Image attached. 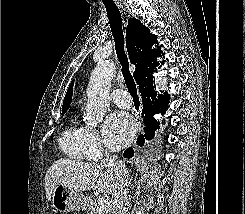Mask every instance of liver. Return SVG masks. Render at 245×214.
I'll return each mask as SVG.
<instances>
[{
	"label": "liver",
	"mask_w": 245,
	"mask_h": 214,
	"mask_svg": "<svg viewBox=\"0 0 245 214\" xmlns=\"http://www.w3.org/2000/svg\"><path fill=\"white\" fill-rule=\"evenodd\" d=\"M117 175L111 169L97 163H82L76 160L61 158L55 161L46 171L44 185L46 198L52 200L57 185L69 189L94 193L112 194Z\"/></svg>",
	"instance_id": "1"
}]
</instances>
